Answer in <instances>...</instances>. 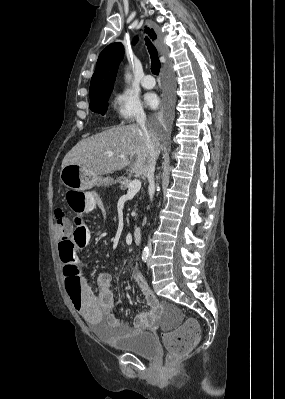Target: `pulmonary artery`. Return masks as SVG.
I'll list each match as a JSON object with an SVG mask.
<instances>
[{
	"label": "pulmonary artery",
	"instance_id": "e3ab8cb5",
	"mask_svg": "<svg viewBox=\"0 0 285 399\" xmlns=\"http://www.w3.org/2000/svg\"><path fill=\"white\" fill-rule=\"evenodd\" d=\"M141 85L146 89H152L155 86V80L150 73H146L141 81Z\"/></svg>",
	"mask_w": 285,
	"mask_h": 399
}]
</instances>
